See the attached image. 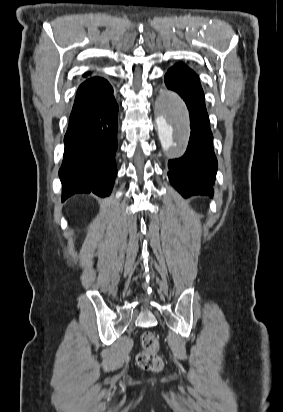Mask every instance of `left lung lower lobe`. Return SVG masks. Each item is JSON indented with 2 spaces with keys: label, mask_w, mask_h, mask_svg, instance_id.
I'll list each match as a JSON object with an SVG mask.
<instances>
[{
  "label": "left lung lower lobe",
  "mask_w": 283,
  "mask_h": 412,
  "mask_svg": "<svg viewBox=\"0 0 283 412\" xmlns=\"http://www.w3.org/2000/svg\"><path fill=\"white\" fill-rule=\"evenodd\" d=\"M165 84L185 101L191 128L185 154L168 162L170 183L183 197H212L217 160L212 147L213 136L199 77L193 71H169L165 75Z\"/></svg>",
  "instance_id": "obj_1"
}]
</instances>
